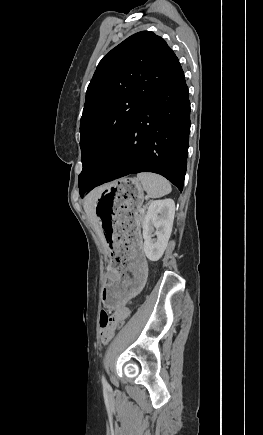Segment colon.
Returning a JSON list of instances; mask_svg holds the SVG:
<instances>
[{
    "mask_svg": "<svg viewBox=\"0 0 263 435\" xmlns=\"http://www.w3.org/2000/svg\"><path fill=\"white\" fill-rule=\"evenodd\" d=\"M105 321H114V319L111 317L110 313L107 310H101L100 312V327H101V338L103 341L107 342L109 341L113 334L114 330H105L104 323ZM124 322H117L115 329H124Z\"/></svg>",
    "mask_w": 263,
    "mask_h": 435,
    "instance_id": "5ec220e1",
    "label": "colon"
}]
</instances>
